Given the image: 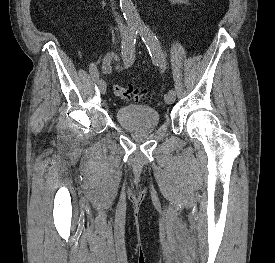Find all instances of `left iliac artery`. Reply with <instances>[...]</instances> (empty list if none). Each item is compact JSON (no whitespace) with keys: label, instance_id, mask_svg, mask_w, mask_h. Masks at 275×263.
Instances as JSON below:
<instances>
[{"label":"left iliac artery","instance_id":"obj_1","mask_svg":"<svg viewBox=\"0 0 275 263\" xmlns=\"http://www.w3.org/2000/svg\"><path fill=\"white\" fill-rule=\"evenodd\" d=\"M138 34L141 36L143 42L145 43L152 61L161 70L166 69V59L162 52L160 42L156 35L145 25H141L137 28ZM169 93L175 94L174 90H169Z\"/></svg>","mask_w":275,"mask_h":263}]
</instances>
